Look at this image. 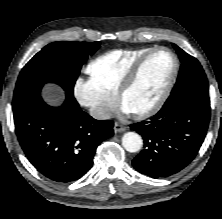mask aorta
I'll use <instances>...</instances> for the list:
<instances>
[{
    "instance_id": "aorta-1",
    "label": "aorta",
    "mask_w": 222,
    "mask_h": 219,
    "mask_svg": "<svg viewBox=\"0 0 222 219\" xmlns=\"http://www.w3.org/2000/svg\"><path fill=\"white\" fill-rule=\"evenodd\" d=\"M142 145L141 136L135 132H127L122 137V146L128 152H137L142 148Z\"/></svg>"
}]
</instances>
